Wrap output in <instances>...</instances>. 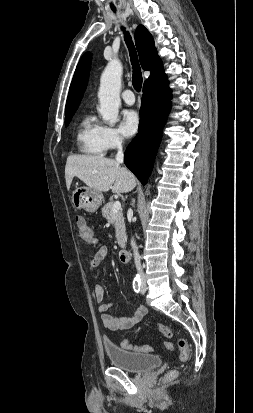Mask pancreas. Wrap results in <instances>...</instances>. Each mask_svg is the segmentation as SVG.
I'll return each instance as SVG.
<instances>
[{"instance_id":"obj_1","label":"pancreas","mask_w":253,"mask_h":413,"mask_svg":"<svg viewBox=\"0 0 253 413\" xmlns=\"http://www.w3.org/2000/svg\"><path fill=\"white\" fill-rule=\"evenodd\" d=\"M113 202L107 203L102 208V216L108 222H114L115 232H116V239L119 246H123L125 243V224H124V217L122 211H118L117 213L112 212Z\"/></svg>"}]
</instances>
